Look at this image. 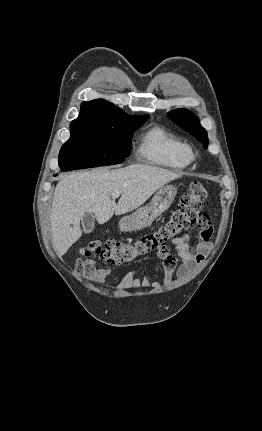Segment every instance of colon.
Masks as SVG:
<instances>
[{
	"label": "colon",
	"instance_id": "1",
	"mask_svg": "<svg viewBox=\"0 0 262 431\" xmlns=\"http://www.w3.org/2000/svg\"><path fill=\"white\" fill-rule=\"evenodd\" d=\"M208 191L204 185L195 182L184 194L171 214L170 218L156 231L145 234L134 241H116L99 239L84 244L75 258V269L80 274L92 270L90 259L97 256L114 264L130 263L149 253L168 254L170 241L192 225L205 220L206 214L201 212ZM84 257L89 259L84 260Z\"/></svg>",
	"mask_w": 262,
	"mask_h": 431
}]
</instances>
